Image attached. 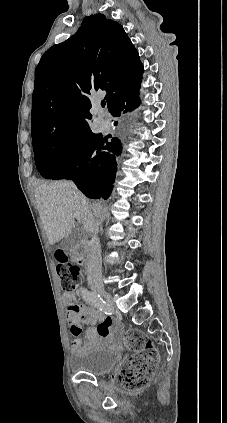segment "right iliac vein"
I'll list each match as a JSON object with an SVG mask.
<instances>
[{"mask_svg": "<svg viewBox=\"0 0 227 423\" xmlns=\"http://www.w3.org/2000/svg\"><path fill=\"white\" fill-rule=\"evenodd\" d=\"M94 291L100 294L104 299L111 301L109 293L103 287L94 288Z\"/></svg>", "mask_w": 227, "mask_h": 423, "instance_id": "right-iliac-vein-1", "label": "right iliac vein"}]
</instances>
